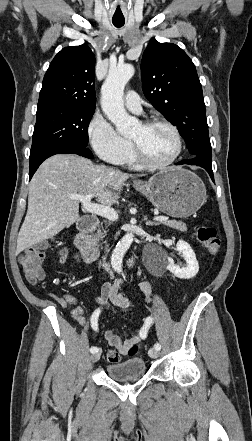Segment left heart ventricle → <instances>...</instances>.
I'll use <instances>...</instances> for the list:
<instances>
[{
	"label": "left heart ventricle",
	"instance_id": "left-heart-ventricle-1",
	"mask_svg": "<svg viewBox=\"0 0 252 441\" xmlns=\"http://www.w3.org/2000/svg\"><path fill=\"white\" fill-rule=\"evenodd\" d=\"M130 139L142 150L144 155L153 163L169 160L176 150V140L165 126L144 127L139 124L133 131Z\"/></svg>",
	"mask_w": 252,
	"mask_h": 441
}]
</instances>
